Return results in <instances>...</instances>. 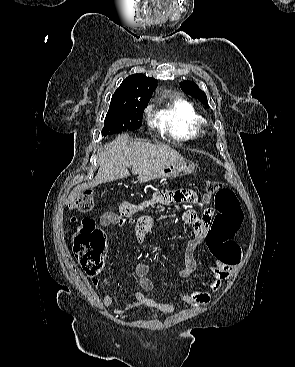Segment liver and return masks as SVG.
Instances as JSON below:
<instances>
[{
  "label": "liver",
  "instance_id": "liver-1",
  "mask_svg": "<svg viewBox=\"0 0 295 367\" xmlns=\"http://www.w3.org/2000/svg\"><path fill=\"white\" fill-rule=\"evenodd\" d=\"M98 160L99 170L95 180L74 188L67 199L68 204L73 203L88 187L128 177L129 166H132V174L140 176L183 161V157L170 146L132 141L127 134H121L100 149Z\"/></svg>",
  "mask_w": 295,
  "mask_h": 367
}]
</instances>
